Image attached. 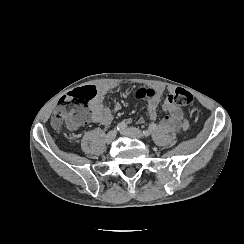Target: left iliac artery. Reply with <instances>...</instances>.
<instances>
[{
  "mask_svg": "<svg viewBox=\"0 0 244 244\" xmlns=\"http://www.w3.org/2000/svg\"><path fill=\"white\" fill-rule=\"evenodd\" d=\"M157 128V125L155 123H152L147 130L143 131L144 136L150 135L155 129Z\"/></svg>",
  "mask_w": 244,
  "mask_h": 244,
  "instance_id": "1",
  "label": "left iliac artery"
}]
</instances>
